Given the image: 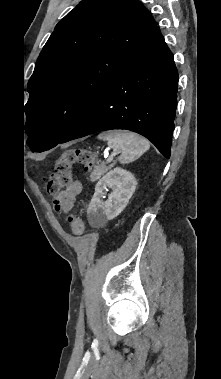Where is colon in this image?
<instances>
[{
    "label": "colon",
    "mask_w": 221,
    "mask_h": 379,
    "mask_svg": "<svg viewBox=\"0 0 221 379\" xmlns=\"http://www.w3.org/2000/svg\"><path fill=\"white\" fill-rule=\"evenodd\" d=\"M76 164H81L85 170H90L94 165V157L89 151L81 148L63 151L56 162L54 172L45 178L47 191L50 193L51 190L61 191L70 187ZM69 223L74 235L80 236L85 232V224L79 216H70Z\"/></svg>",
    "instance_id": "5ec220e1"
}]
</instances>
